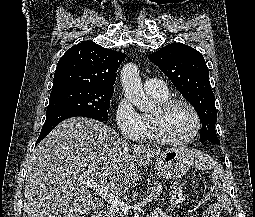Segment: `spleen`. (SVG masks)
<instances>
[{"mask_svg":"<svg viewBox=\"0 0 255 217\" xmlns=\"http://www.w3.org/2000/svg\"><path fill=\"white\" fill-rule=\"evenodd\" d=\"M199 158H200L202 161H204V160H205V158H203L202 156H200ZM216 171H217V170H216Z\"/></svg>","mask_w":255,"mask_h":217,"instance_id":"spleen-1","label":"spleen"}]
</instances>
